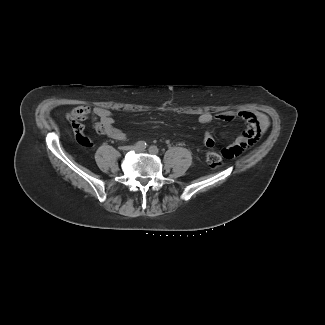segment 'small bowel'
<instances>
[{
	"mask_svg": "<svg viewBox=\"0 0 325 325\" xmlns=\"http://www.w3.org/2000/svg\"><path fill=\"white\" fill-rule=\"evenodd\" d=\"M88 118L92 119L93 127L98 133L114 140H126V134L115 126V121L110 110L101 106L94 107L93 109L86 106H79L70 112L68 119L81 145L91 146V142L86 137L82 125V122ZM215 118L222 122H231L239 118L245 123L243 132L236 137L231 145L222 149V155L228 159L240 155L253 146L261 132L269 126L268 117L263 113L254 111L242 110L237 113L222 112L216 115ZM213 119L214 116L209 112H203L198 117V121L202 125L211 123ZM203 143L206 148H213L215 146L216 140L212 132L207 131L204 134Z\"/></svg>",
	"mask_w": 325,
	"mask_h": 325,
	"instance_id": "small-bowel-1",
	"label": "small bowel"
}]
</instances>
